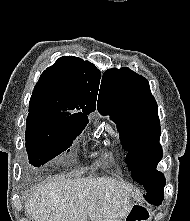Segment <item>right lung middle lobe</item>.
<instances>
[{"mask_svg":"<svg viewBox=\"0 0 190 221\" xmlns=\"http://www.w3.org/2000/svg\"><path fill=\"white\" fill-rule=\"evenodd\" d=\"M88 119L70 120L61 116L28 114L26 150L29 163L39 167L67 150Z\"/></svg>","mask_w":190,"mask_h":221,"instance_id":"right-lung-middle-lobe-1","label":"right lung middle lobe"}]
</instances>
